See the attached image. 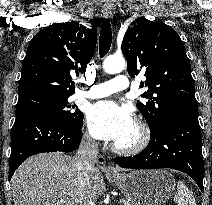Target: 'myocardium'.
Listing matches in <instances>:
<instances>
[{"mask_svg": "<svg viewBox=\"0 0 212 205\" xmlns=\"http://www.w3.org/2000/svg\"><path fill=\"white\" fill-rule=\"evenodd\" d=\"M135 126L138 131V137L130 145H120L115 143L113 149L115 152L123 155H134L142 152L151 141V130L146 121L136 119Z\"/></svg>", "mask_w": 212, "mask_h": 205, "instance_id": "1", "label": "myocardium"}]
</instances>
